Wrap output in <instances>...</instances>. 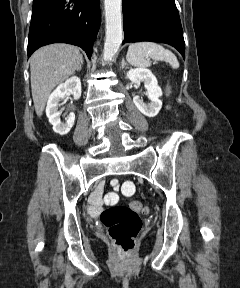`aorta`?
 Wrapping results in <instances>:
<instances>
[{
	"label": "aorta",
	"instance_id": "aorta-1",
	"mask_svg": "<svg viewBox=\"0 0 240 288\" xmlns=\"http://www.w3.org/2000/svg\"><path fill=\"white\" fill-rule=\"evenodd\" d=\"M122 0H104L106 20V40L103 60L109 62L117 53L123 39Z\"/></svg>",
	"mask_w": 240,
	"mask_h": 288
}]
</instances>
